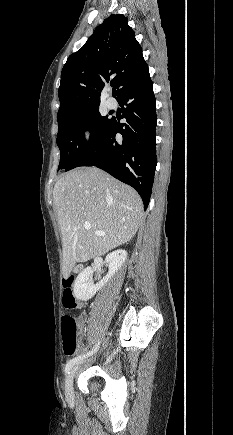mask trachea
Returning a JSON list of instances; mask_svg holds the SVG:
<instances>
[{
    "label": "trachea",
    "instance_id": "3493384b",
    "mask_svg": "<svg viewBox=\"0 0 233 435\" xmlns=\"http://www.w3.org/2000/svg\"><path fill=\"white\" fill-rule=\"evenodd\" d=\"M114 85V83H111V86H113Z\"/></svg>",
    "mask_w": 233,
    "mask_h": 435
}]
</instances>
